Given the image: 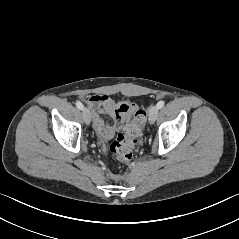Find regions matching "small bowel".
Listing matches in <instances>:
<instances>
[{
    "mask_svg": "<svg viewBox=\"0 0 239 239\" xmlns=\"http://www.w3.org/2000/svg\"><path fill=\"white\" fill-rule=\"evenodd\" d=\"M87 103L91 109L93 125L104 140H110L130 120L132 115L139 111L136 104L131 102L119 103L105 94L93 95ZM101 114L109 115L112 123H106Z\"/></svg>",
    "mask_w": 239,
    "mask_h": 239,
    "instance_id": "small-bowel-1",
    "label": "small bowel"
}]
</instances>
